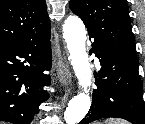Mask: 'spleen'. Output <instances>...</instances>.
Wrapping results in <instances>:
<instances>
[{
    "label": "spleen",
    "mask_w": 145,
    "mask_h": 124,
    "mask_svg": "<svg viewBox=\"0 0 145 124\" xmlns=\"http://www.w3.org/2000/svg\"><path fill=\"white\" fill-rule=\"evenodd\" d=\"M107 124H128V123L120 119H109Z\"/></svg>",
    "instance_id": "obj_1"
}]
</instances>
